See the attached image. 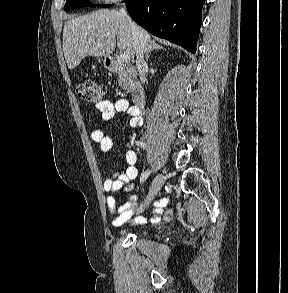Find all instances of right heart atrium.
<instances>
[{
    "label": "right heart atrium",
    "instance_id": "obj_1",
    "mask_svg": "<svg viewBox=\"0 0 288 293\" xmlns=\"http://www.w3.org/2000/svg\"><path fill=\"white\" fill-rule=\"evenodd\" d=\"M104 2H114V1H117V0H103Z\"/></svg>",
    "mask_w": 288,
    "mask_h": 293
}]
</instances>
